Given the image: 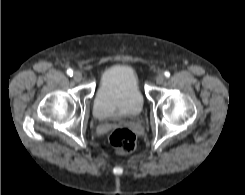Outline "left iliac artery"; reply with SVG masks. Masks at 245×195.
<instances>
[{
	"mask_svg": "<svg viewBox=\"0 0 245 195\" xmlns=\"http://www.w3.org/2000/svg\"><path fill=\"white\" fill-rule=\"evenodd\" d=\"M164 75L168 78V77H170V72L166 71V72L164 73Z\"/></svg>",
	"mask_w": 245,
	"mask_h": 195,
	"instance_id": "left-iliac-artery-1",
	"label": "left iliac artery"
}]
</instances>
